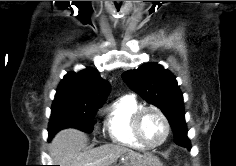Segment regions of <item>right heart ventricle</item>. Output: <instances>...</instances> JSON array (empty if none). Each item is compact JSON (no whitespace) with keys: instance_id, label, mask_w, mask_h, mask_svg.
<instances>
[{"instance_id":"obj_1","label":"right heart ventricle","mask_w":236,"mask_h":166,"mask_svg":"<svg viewBox=\"0 0 236 166\" xmlns=\"http://www.w3.org/2000/svg\"><path fill=\"white\" fill-rule=\"evenodd\" d=\"M141 107L138 100L131 95L121 96L107 107L105 129L112 143L136 150L145 149L132 130L133 115Z\"/></svg>"}]
</instances>
